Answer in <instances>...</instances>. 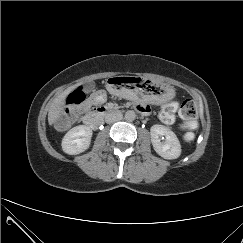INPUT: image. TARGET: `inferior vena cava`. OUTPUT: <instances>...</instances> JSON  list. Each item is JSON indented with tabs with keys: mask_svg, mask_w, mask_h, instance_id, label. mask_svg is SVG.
Segmentation results:
<instances>
[{
	"mask_svg": "<svg viewBox=\"0 0 243 243\" xmlns=\"http://www.w3.org/2000/svg\"><path fill=\"white\" fill-rule=\"evenodd\" d=\"M121 119H122V114L118 113V112H111V113L106 114V116H105V122L108 124L114 123Z\"/></svg>",
	"mask_w": 243,
	"mask_h": 243,
	"instance_id": "602c4592",
	"label": "inferior vena cava"
}]
</instances>
